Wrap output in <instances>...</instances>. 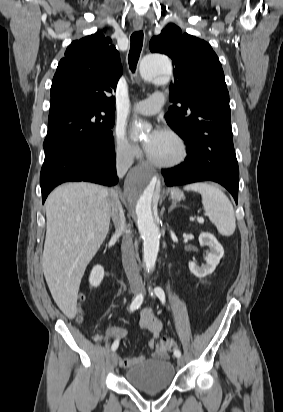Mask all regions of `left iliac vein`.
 Masks as SVG:
<instances>
[{
	"label": "left iliac vein",
	"instance_id": "1",
	"mask_svg": "<svg viewBox=\"0 0 283 412\" xmlns=\"http://www.w3.org/2000/svg\"><path fill=\"white\" fill-rule=\"evenodd\" d=\"M143 292L145 293V290L143 289ZM177 363L179 366H183L184 365V360L181 357H178Z\"/></svg>",
	"mask_w": 283,
	"mask_h": 412
}]
</instances>
